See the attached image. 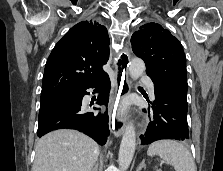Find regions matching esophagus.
<instances>
[{
	"instance_id": "34e87169",
	"label": "esophagus",
	"mask_w": 223,
	"mask_h": 171,
	"mask_svg": "<svg viewBox=\"0 0 223 171\" xmlns=\"http://www.w3.org/2000/svg\"><path fill=\"white\" fill-rule=\"evenodd\" d=\"M130 56L128 50H123L114 62L116 72L115 96L109 102L110 116H112V129L116 137H120L125 131L126 116L120 110L116 113L119 102L130 93V81L128 77V66ZM112 114V115H111Z\"/></svg>"
}]
</instances>
